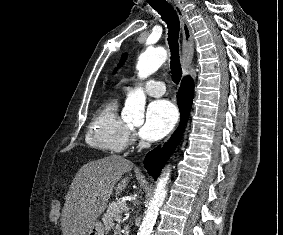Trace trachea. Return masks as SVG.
<instances>
[{"label":"trachea","instance_id":"obj_1","mask_svg":"<svg viewBox=\"0 0 283 235\" xmlns=\"http://www.w3.org/2000/svg\"><path fill=\"white\" fill-rule=\"evenodd\" d=\"M151 6L161 15L168 27V44L171 51L170 69L173 81L178 84L182 76L179 60L178 37L180 30L179 18L176 11L167 2L152 3Z\"/></svg>","mask_w":283,"mask_h":235}]
</instances>
